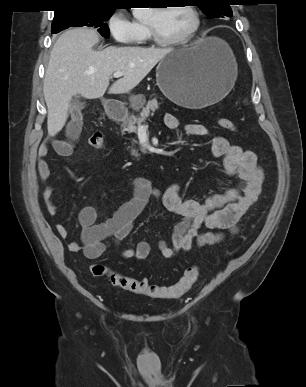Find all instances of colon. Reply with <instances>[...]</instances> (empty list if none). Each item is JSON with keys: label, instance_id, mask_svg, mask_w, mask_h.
Wrapping results in <instances>:
<instances>
[{"label": "colon", "instance_id": "5ec220e1", "mask_svg": "<svg viewBox=\"0 0 306 387\" xmlns=\"http://www.w3.org/2000/svg\"><path fill=\"white\" fill-rule=\"evenodd\" d=\"M217 124L222 129L231 132L236 131V125L230 119L219 118ZM88 144L94 149H102L104 147L103 135L100 132L91 134L88 138ZM90 272L98 277L107 276L111 284L115 287L147 297L160 299L181 297L190 290L200 275L199 267L192 265L184 270L182 276L176 283L168 286H161L152 284L146 279H136L113 272L101 263H93L90 266Z\"/></svg>", "mask_w": 306, "mask_h": 387}]
</instances>
